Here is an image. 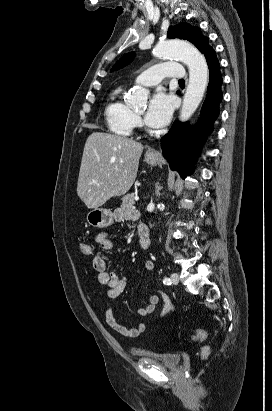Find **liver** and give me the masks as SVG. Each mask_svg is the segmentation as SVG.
Wrapping results in <instances>:
<instances>
[{"label":"liver","mask_w":272,"mask_h":411,"mask_svg":"<svg viewBox=\"0 0 272 411\" xmlns=\"http://www.w3.org/2000/svg\"><path fill=\"white\" fill-rule=\"evenodd\" d=\"M142 152L141 143L123 136L93 132L87 138L77 183V194L87 208L128 192Z\"/></svg>","instance_id":"liver-1"}]
</instances>
